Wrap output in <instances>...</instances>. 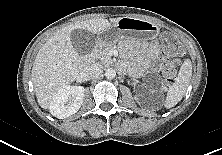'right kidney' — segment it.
<instances>
[{
  "instance_id": "ca27d5eb",
  "label": "right kidney",
  "mask_w": 222,
  "mask_h": 155,
  "mask_svg": "<svg viewBox=\"0 0 222 155\" xmlns=\"http://www.w3.org/2000/svg\"><path fill=\"white\" fill-rule=\"evenodd\" d=\"M85 95V88L82 86L66 85L53 96L49 109L53 116L64 119L76 113Z\"/></svg>"
}]
</instances>
